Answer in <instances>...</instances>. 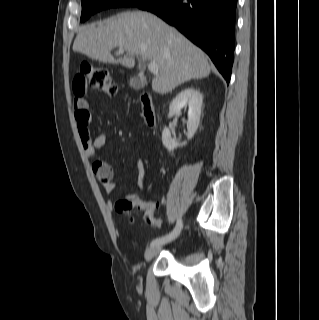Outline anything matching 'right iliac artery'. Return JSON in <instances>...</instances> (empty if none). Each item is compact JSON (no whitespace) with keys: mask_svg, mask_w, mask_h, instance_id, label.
Wrapping results in <instances>:
<instances>
[{"mask_svg":"<svg viewBox=\"0 0 319 320\" xmlns=\"http://www.w3.org/2000/svg\"><path fill=\"white\" fill-rule=\"evenodd\" d=\"M182 227H183L182 220L179 219V220L177 221V224H176V226H175V228L173 229L172 232H170L169 234L164 235V236H162V237H158V238L154 239V240L151 242L150 246H151V247H152V246H159V245H162V244H165V243H167V242H170V241L174 240V239L177 238V236L179 235Z\"/></svg>","mask_w":319,"mask_h":320,"instance_id":"right-iliac-artery-1","label":"right iliac artery"}]
</instances>
